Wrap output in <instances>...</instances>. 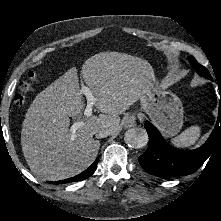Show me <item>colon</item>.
<instances>
[{"label":"colon","instance_id":"colon-1","mask_svg":"<svg viewBox=\"0 0 221 221\" xmlns=\"http://www.w3.org/2000/svg\"><path fill=\"white\" fill-rule=\"evenodd\" d=\"M39 80V74L32 72L26 81H24L20 86V92L16 97L15 103L17 106L21 107L25 105L29 95L33 91L34 84Z\"/></svg>","mask_w":221,"mask_h":221}]
</instances>
